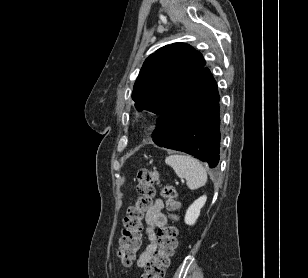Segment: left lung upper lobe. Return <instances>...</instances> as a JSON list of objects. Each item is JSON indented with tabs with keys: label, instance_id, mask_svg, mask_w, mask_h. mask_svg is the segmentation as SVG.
Here are the masks:
<instances>
[{
	"label": "left lung upper lobe",
	"instance_id": "obj_1",
	"mask_svg": "<svg viewBox=\"0 0 308 278\" xmlns=\"http://www.w3.org/2000/svg\"><path fill=\"white\" fill-rule=\"evenodd\" d=\"M205 64L201 53L188 44L173 43L158 49L145 60L135 82V107L161 114Z\"/></svg>",
	"mask_w": 308,
	"mask_h": 278
}]
</instances>
